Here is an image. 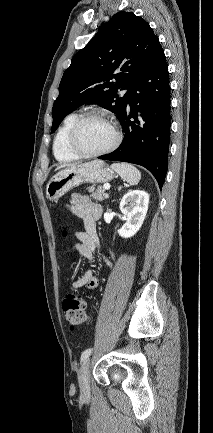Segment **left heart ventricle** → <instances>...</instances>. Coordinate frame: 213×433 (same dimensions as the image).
Returning <instances> with one entry per match:
<instances>
[{"label":"left heart ventricle","mask_w":213,"mask_h":433,"mask_svg":"<svg viewBox=\"0 0 213 433\" xmlns=\"http://www.w3.org/2000/svg\"><path fill=\"white\" fill-rule=\"evenodd\" d=\"M114 141L112 128L102 120L86 121L78 134V144L86 152H98L109 147Z\"/></svg>","instance_id":"b2bd125f"}]
</instances>
